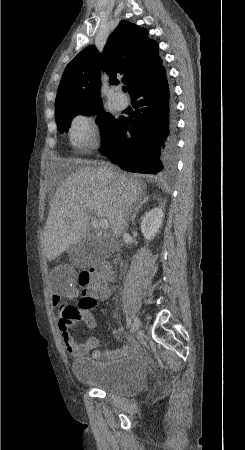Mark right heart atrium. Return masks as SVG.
Returning <instances> with one entry per match:
<instances>
[{
    "label": "right heart atrium",
    "instance_id": "right-heart-atrium-1",
    "mask_svg": "<svg viewBox=\"0 0 245 450\" xmlns=\"http://www.w3.org/2000/svg\"><path fill=\"white\" fill-rule=\"evenodd\" d=\"M69 139L81 149H91L98 144V129L94 121L87 116L75 117L70 125Z\"/></svg>",
    "mask_w": 245,
    "mask_h": 450
}]
</instances>
